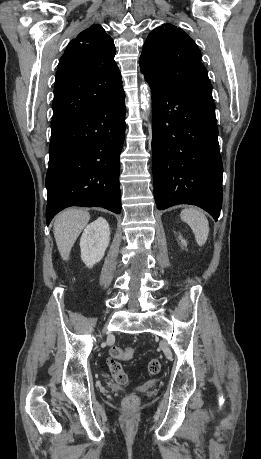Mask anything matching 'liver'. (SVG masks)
Masks as SVG:
<instances>
[{
	"label": "liver",
	"mask_w": 261,
	"mask_h": 459,
	"mask_svg": "<svg viewBox=\"0 0 261 459\" xmlns=\"http://www.w3.org/2000/svg\"><path fill=\"white\" fill-rule=\"evenodd\" d=\"M90 220V214L81 209H68L60 213L54 222V237L63 260H68L71 249Z\"/></svg>",
	"instance_id": "liver-1"
}]
</instances>
